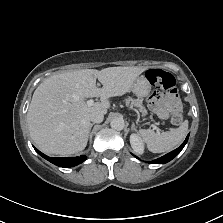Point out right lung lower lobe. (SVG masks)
Returning a JSON list of instances; mask_svg holds the SVG:
<instances>
[{"mask_svg": "<svg viewBox=\"0 0 223 223\" xmlns=\"http://www.w3.org/2000/svg\"><path fill=\"white\" fill-rule=\"evenodd\" d=\"M36 152L41 155L43 158L48 160L49 162L59 166V167H74L83 161L86 160V156H80V157H66V158H55V157H48L45 154L41 153L38 149H36Z\"/></svg>", "mask_w": 223, "mask_h": 223, "instance_id": "98d812e1", "label": "right lung lower lobe"}]
</instances>
